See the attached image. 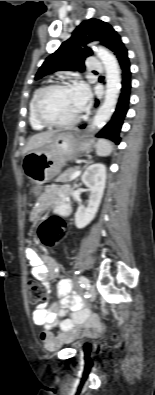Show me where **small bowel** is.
Segmentation results:
<instances>
[{
	"instance_id": "obj_1",
	"label": "small bowel",
	"mask_w": 155,
	"mask_h": 395,
	"mask_svg": "<svg viewBox=\"0 0 155 395\" xmlns=\"http://www.w3.org/2000/svg\"><path fill=\"white\" fill-rule=\"evenodd\" d=\"M68 194L67 186H48L32 214L33 220L50 210L59 215L69 211ZM25 256L33 277L49 290L51 280L60 276L59 264L52 257L39 254L32 248L26 249ZM56 291L60 301L49 308L45 304L38 305L32 316L34 324L43 327L40 339L48 350H54L76 338L95 334L101 329L98 317L84 307L77 294L72 293V283L69 279L60 278ZM68 311L70 318H64ZM56 326L59 327V332L54 334Z\"/></svg>"
}]
</instances>
